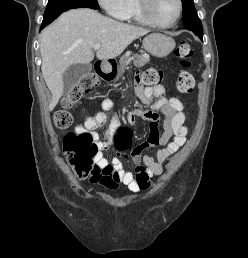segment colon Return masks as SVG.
<instances>
[{
	"mask_svg": "<svg viewBox=\"0 0 248 258\" xmlns=\"http://www.w3.org/2000/svg\"><path fill=\"white\" fill-rule=\"evenodd\" d=\"M178 63L183 68L192 64L193 49L190 43L183 41L176 49ZM143 83L149 86H157L161 80V73L153 68L146 70L142 76ZM99 83V78L94 74L84 75L76 83L68 95L63 98L61 108L55 111L54 125L57 129H67L72 124V116L68 111L83 95L91 93ZM177 89L183 94H190L195 86V79L188 71H181L176 79ZM130 132L121 129L117 134L118 148L122 152L129 143ZM63 150L70 165L80 177L92 176L98 180L99 176H111L95 163L98 147L89 132H69L63 139ZM116 176V174H113Z\"/></svg>",
	"mask_w": 248,
	"mask_h": 258,
	"instance_id": "1",
	"label": "colon"
}]
</instances>
